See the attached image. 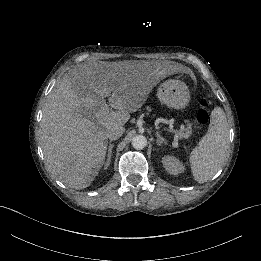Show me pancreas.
<instances>
[{
	"mask_svg": "<svg viewBox=\"0 0 261 261\" xmlns=\"http://www.w3.org/2000/svg\"><path fill=\"white\" fill-rule=\"evenodd\" d=\"M190 129H192V126L190 124H188L187 127H184L185 132H181L183 138H189L190 136H192V132L190 131Z\"/></svg>",
	"mask_w": 261,
	"mask_h": 261,
	"instance_id": "pancreas-1",
	"label": "pancreas"
}]
</instances>
